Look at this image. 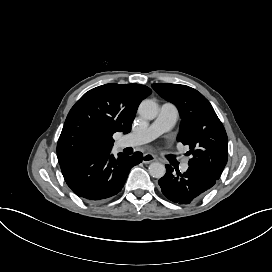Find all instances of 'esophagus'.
I'll return each instance as SVG.
<instances>
[{
    "label": "esophagus",
    "mask_w": 272,
    "mask_h": 272,
    "mask_svg": "<svg viewBox=\"0 0 272 272\" xmlns=\"http://www.w3.org/2000/svg\"><path fill=\"white\" fill-rule=\"evenodd\" d=\"M156 160V156L152 153H145L142 156L143 163H150Z\"/></svg>",
    "instance_id": "obj_1"
}]
</instances>
